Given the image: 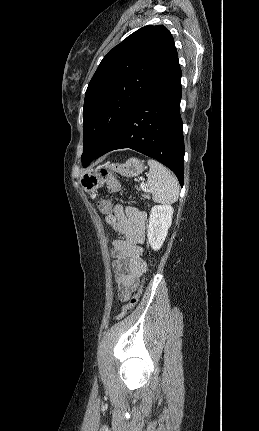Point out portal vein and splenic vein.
<instances>
[{
	"label": "portal vein and splenic vein",
	"instance_id": "1",
	"mask_svg": "<svg viewBox=\"0 0 259 431\" xmlns=\"http://www.w3.org/2000/svg\"><path fill=\"white\" fill-rule=\"evenodd\" d=\"M141 187H142L143 189H144V188L146 189V186H145V184H144L143 182L141 183Z\"/></svg>",
	"mask_w": 259,
	"mask_h": 431
}]
</instances>
